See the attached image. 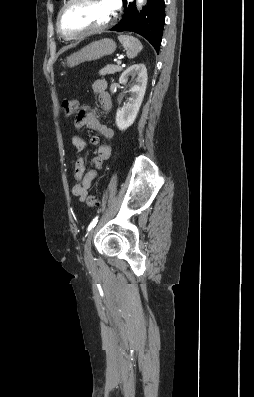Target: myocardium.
I'll return each instance as SVG.
<instances>
[{"mask_svg":"<svg viewBox=\"0 0 254 397\" xmlns=\"http://www.w3.org/2000/svg\"><path fill=\"white\" fill-rule=\"evenodd\" d=\"M75 1L76 0H67L66 3L60 9L58 16H57V21H56L57 30H58L59 34L62 37H64L65 39H77V38H81L84 36L93 35V34L103 32L104 30L111 27L116 20V14H115V12H112L109 20L99 27L87 29V30H84V31H81L78 33H68L62 27V17H63L64 12L66 11V9Z\"/></svg>","mask_w":254,"mask_h":397,"instance_id":"myocardium-1","label":"myocardium"}]
</instances>
